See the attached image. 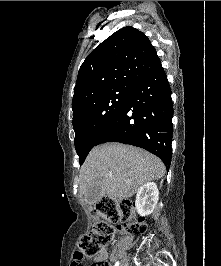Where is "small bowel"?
Returning a JSON list of instances; mask_svg holds the SVG:
<instances>
[{
  "mask_svg": "<svg viewBox=\"0 0 221 266\" xmlns=\"http://www.w3.org/2000/svg\"><path fill=\"white\" fill-rule=\"evenodd\" d=\"M71 256L74 257L72 258V263L71 266H83L82 260L80 257L84 256L83 252H72ZM107 252L103 251L97 258L96 260H106L107 259Z\"/></svg>",
  "mask_w": 221,
  "mask_h": 266,
  "instance_id": "c3829d8e",
  "label": "small bowel"
}]
</instances>
